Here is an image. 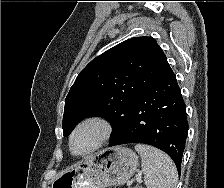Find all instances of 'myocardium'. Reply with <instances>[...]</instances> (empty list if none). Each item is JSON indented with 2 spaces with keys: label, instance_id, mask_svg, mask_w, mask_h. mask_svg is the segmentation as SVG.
<instances>
[{
  "label": "myocardium",
  "instance_id": "obj_1",
  "mask_svg": "<svg viewBox=\"0 0 224 188\" xmlns=\"http://www.w3.org/2000/svg\"><path fill=\"white\" fill-rule=\"evenodd\" d=\"M87 124H96L101 128V136L99 138V140L97 141V143L88 151L81 153V154H77L73 151V140L74 137L76 135V133L85 125ZM113 124L111 122V120L103 115H91L88 116L86 118H84L83 120H81L73 129L70 138H69V149L71 151V153L74 156H87L93 152H95L96 150H98L100 147H102L112 136L113 134Z\"/></svg>",
  "mask_w": 224,
  "mask_h": 188
}]
</instances>
